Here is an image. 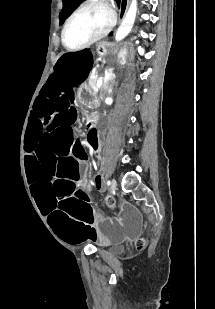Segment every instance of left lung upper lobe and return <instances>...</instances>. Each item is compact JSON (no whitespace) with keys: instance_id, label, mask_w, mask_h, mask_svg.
Listing matches in <instances>:
<instances>
[{"instance_id":"5c2ea615","label":"left lung upper lobe","mask_w":215,"mask_h":309,"mask_svg":"<svg viewBox=\"0 0 215 309\" xmlns=\"http://www.w3.org/2000/svg\"><path fill=\"white\" fill-rule=\"evenodd\" d=\"M82 0H63V10L60 14L61 22L68 16V14L75 8V6L80 3ZM119 3L120 0H117Z\"/></svg>"}]
</instances>
